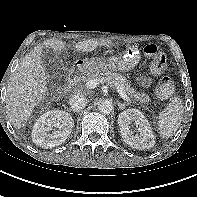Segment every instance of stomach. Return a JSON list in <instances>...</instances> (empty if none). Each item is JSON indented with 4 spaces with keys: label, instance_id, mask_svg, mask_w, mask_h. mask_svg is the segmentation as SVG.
I'll return each mask as SVG.
<instances>
[{
    "label": "stomach",
    "instance_id": "obj_1",
    "mask_svg": "<svg viewBox=\"0 0 197 197\" xmlns=\"http://www.w3.org/2000/svg\"><path fill=\"white\" fill-rule=\"evenodd\" d=\"M140 58V52L137 48L128 47L119 56H114L108 60L94 57L83 59L78 63V67L88 72L104 70L127 72L138 65Z\"/></svg>",
    "mask_w": 197,
    "mask_h": 197
}]
</instances>
